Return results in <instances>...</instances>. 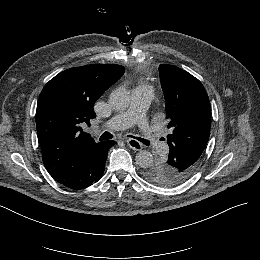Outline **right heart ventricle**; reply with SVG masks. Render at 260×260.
Instances as JSON below:
<instances>
[{
  "label": "right heart ventricle",
  "mask_w": 260,
  "mask_h": 260,
  "mask_svg": "<svg viewBox=\"0 0 260 260\" xmlns=\"http://www.w3.org/2000/svg\"><path fill=\"white\" fill-rule=\"evenodd\" d=\"M144 88H148L147 84L145 82H138V84L135 87V90Z\"/></svg>",
  "instance_id": "1"
}]
</instances>
